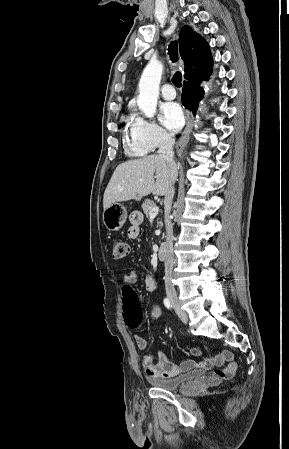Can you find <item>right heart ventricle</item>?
<instances>
[{
    "label": "right heart ventricle",
    "mask_w": 289,
    "mask_h": 449,
    "mask_svg": "<svg viewBox=\"0 0 289 449\" xmlns=\"http://www.w3.org/2000/svg\"><path fill=\"white\" fill-rule=\"evenodd\" d=\"M131 127H132V123H131ZM130 136H131V128H130ZM129 151L135 156H143L147 153V151L144 148L134 144V142L132 141V137H131V143L129 144Z\"/></svg>",
    "instance_id": "e07e8e85"
}]
</instances>
